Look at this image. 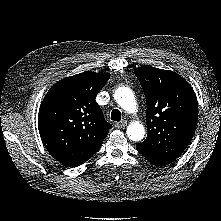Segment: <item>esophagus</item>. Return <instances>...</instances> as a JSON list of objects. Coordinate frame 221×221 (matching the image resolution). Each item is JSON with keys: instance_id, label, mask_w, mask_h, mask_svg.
I'll return each mask as SVG.
<instances>
[{"instance_id": "34e87169", "label": "esophagus", "mask_w": 221, "mask_h": 221, "mask_svg": "<svg viewBox=\"0 0 221 221\" xmlns=\"http://www.w3.org/2000/svg\"><path fill=\"white\" fill-rule=\"evenodd\" d=\"M126 125H127V121L126 120H122V121H119V122L115 123V127L116 128H124Z\"/></svg>"}]
</instances>
